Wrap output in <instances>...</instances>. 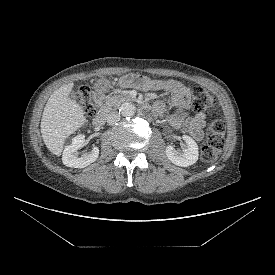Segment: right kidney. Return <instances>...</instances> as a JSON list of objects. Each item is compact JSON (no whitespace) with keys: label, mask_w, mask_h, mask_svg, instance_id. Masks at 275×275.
<instances>
[{"label":"right kidney","mask_w":275,"mask_h":275,"mask_svg":"<svg viewBox=\"0 0 275 275\" xmlns=\"http://www.w3.org/2000/svg\"><path fill=\"white\" fill-rule=\"evenodd\" d=\"M85 136L80 134L72 139V143L65 147L63 151L62 161L67 167L84 168L98 158L99 148L94 147L90 153L78 157V149L83 146Z\"/></svg>","instance_id":"right-kidney-1"}]
</instances>
